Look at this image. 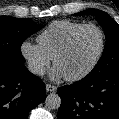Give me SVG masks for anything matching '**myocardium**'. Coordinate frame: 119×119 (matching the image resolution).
Segmentation results:
<instances>
[{
  "mask_svg": "<svg viewBox=\"0 0 119 119\" xmlns=\"http://www.w3.org/2000/svg\"><path fill=\"white\" fill-rule=\"evenodd\" d=\"M89 28H93V29L97 30L100 34L101 43H100L99 51H98L95 59L84 71H82L81 73L74 75V76L64 77L67 81L77 82V81H80V80L86 78L96 68V66L99 64V62L104 54L105 46H106V38H105L104 31L96 24H92V23L84 24L83 26H81L80 28L75 30L69 36V38L66 40L64 45L58 50V52L55 54V56L53 58V65L56 67L57 61L69 51V49L71 48V46H72L73 42L75 41V39L77 38V36L84 30L89 29Z\"/></svg>",
  "mask_w": 119,
  "mask_h": 119,
  "instance_id": "1",
  "label": "myocardium"
}]
</instances>
